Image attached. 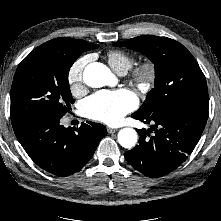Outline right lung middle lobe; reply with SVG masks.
Here are the masks:
<instances>
[{
	"mask_svg": "<svg viewBox=\"0 0 221 221\" xmlns=\"http://www.w3.org/2000/svg\"><path fill=\"white\" fill-rule=\"evenodd\" d=\"M88 49L65 42H46L35 48L18 66L11 87V122L62 118L70 104L68 73L72 64Z\"/></svg>",
	"mask_w": 221,
	"mask_h": 221,
	"instance_id": "right-lung-middle-lobe-1",
	"label": "right lung middle lobe"
}]
</instances>
